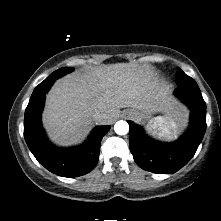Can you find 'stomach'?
Wrapping results in <instances>:
<instances>
[{
	"instance_id": "obj_1",
	"label": "stomach",
	"mask_w": 221,
	"mask_h": 221,
	"mask_svg": "<svg viewBox=\"0 0 221 221\" xmlns=\"http://www.w3.org/2000/svg\"><path fill=\"white\" fill-rule=\"evenodd\" d=\"M124 113L138 123H147L148 129L153 130V132L157 133L159 137L165 138V136L161 134L162 130L161 127L165 123L157 122V119L152 117L153 111H145V110L143 111L132 108V109H126ZM153 126L156 127L154 128Z\"/></svg>"
}]
</instances>
